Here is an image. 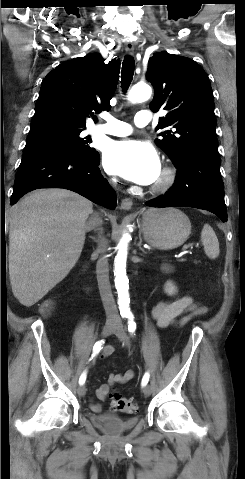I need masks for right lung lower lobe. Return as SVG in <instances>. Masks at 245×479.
Wrapping results in <instances>:
<instances>
[{
	"label": "right lung lower lobe",
	"instance_id": "obj_1",
	"mask_svg": "<svg viewBox=\"0 0 245 479\" xmlns=\"http://www.w3.org/2000/svg\"><path fill=\"white\" fill-rule=\"evenodd\" d=\"M99 156L92 158L64 148L23 156L15 176L10 203L39 188H64L107 208L117 205L116 194L101 175Z\"/></svg>",
	"mask_w": 245,
	"mask_h": 479
}]
</instances>
